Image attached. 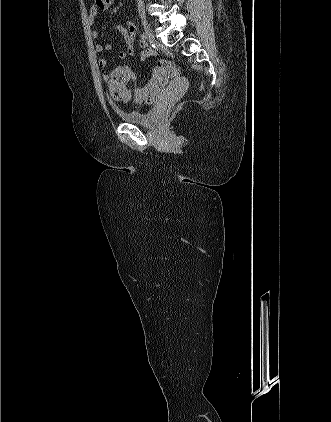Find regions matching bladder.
<instances>
[{
	"instance_id": "obj_1",
	"label": "bladder",
	"mask_w": 331,
	"mask_h": 422,
	"mask_svg": "<svg viewBox=\"0 0 331 422\" xmlns=\"http://www.w3.org/2000/svg\"><path fill=\"white\" fill-rule=\"evenodd\" d=\"M164 99L161 97L156 100L152 108L146 111L141 110H121L119 114L121 118L127 123L139 126H151L153 125L158 117L159 107L158 104Z\"/></svg>"
}]
</instances>
